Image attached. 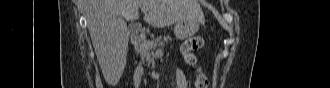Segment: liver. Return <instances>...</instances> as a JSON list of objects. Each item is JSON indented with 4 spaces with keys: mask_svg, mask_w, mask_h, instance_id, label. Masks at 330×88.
<instances>
[{
    "mask_svg": "<svg viewBox=\"0 0 330 88\" xmlns=\"http://www.w3.org/2000/svg\"><path fill=\"white\" fill-rule=\"evenodd\" d=\"M88 30L108 84L116 85L126 66L130 29L125 20H137L139 8L147 9L144 21L163 28L185 19L204 21L197 0H85Z\"/></svg>",
    "mask_w": 330,
    "mask_h": 88,
    "instance_id": "1",
    "label": "liver"
}]
</instances>
